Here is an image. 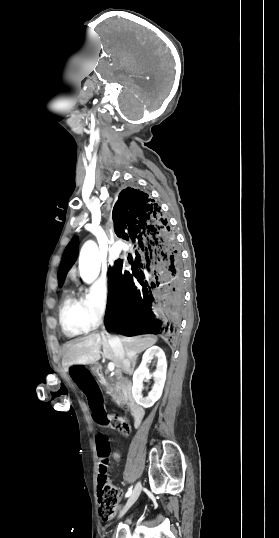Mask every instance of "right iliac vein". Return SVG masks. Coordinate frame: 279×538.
I'll return each instance as SVG.
<instances>
[{"label": "right iliac vein", "instance_id": "1", "mask_svg": "<svg viewBox=\"0 0 279 538\" xmlns=\"http://www.w3.org/2000/svg\"><path fill=\"white\" fill-rule=\"evenodd\" d=\"M141 489H142V485H141L140 482H138L136 484L131 496L127 500L125 506L123 507V509L119 513V516H118L119 518L122 517L128 511V509L136 502V500L138 499V497H139V495L141 493Z\"/></svg>", "mask_w": 279, "mask_h": 538}]
</instances>
